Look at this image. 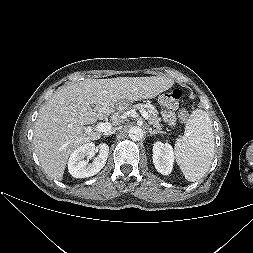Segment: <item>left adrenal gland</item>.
I'll return each mask as SVG.
<instances>
[{
  "label": "left adrenal gland",
  "mask_w": 253,
  "mask_h": 253,
  "mask_svg": "<svg viewBox=\"0 0 253 253\" xmlns=\"http://www.w3.org/2000/svg\"><path fill=\"white\" fill-rule=\"evenodd\" d=\"M148 131H149L150 136L155 135V134H157V133H161V132H159V131L152 130V128H148Z\"/></svg>",
  "instance_id": "left-adrenal-gland-1"
}]
</instances>
